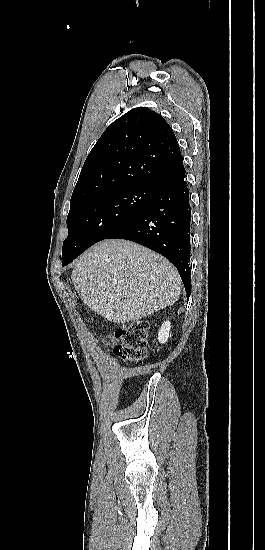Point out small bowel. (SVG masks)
Masks as SVG:
<instances>
[{
    "instance_id": "obj_1",
    "label": "small bowel",
    "mask_w": 265,
    "mask_h": 550,
    "mask_svg": "<svg viewBox=\"0 0 265 550\" xmlns=\"http://www.w3.org/2000/svg\"><path fill=\"white\" fill-rule=\"evenodd\" d=\"M104 341H105L106 343H112V342H113V340H112L111 338H109V337L104 338Z\"/></svg>"
}]
</instances>
